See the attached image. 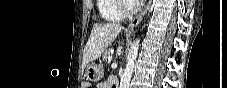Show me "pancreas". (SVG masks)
Listing matches in <instances>:
<instances>
[{
	"label": "pancreas",
	"mask_w": 227,
	"mask_h": 88,
	"mask_svg": "<svg viewBox=\"0 0 227 88\" xmlns=\"http://www.w3.org/2000/svg\"><path fill=\"white\" fill-rule=\"evenodd\" d=\"M111 49H107L103 52L102 54V60L106 61L108 59L109 56H111Z\"/></svg>",
	"instance_id": "1"
}]
</instances>
